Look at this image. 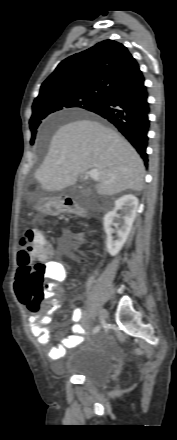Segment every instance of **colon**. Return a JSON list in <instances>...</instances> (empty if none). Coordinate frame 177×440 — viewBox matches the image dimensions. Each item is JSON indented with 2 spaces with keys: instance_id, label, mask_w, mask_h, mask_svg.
<instances>
[{
  "instance_id": "1",
  "label": "colon",
  "mask_w": 177,
  "mask_h": 440,
  "mask_svg": "<svg viewBox=\"0 0 177 440\" xmlns=\"http://www.w3.org/2000/svg\"><path fill=\"white\" fill-rule=\"evenodd\" d=\"M77 242H83L81 235L74 236ZM51 254V248L38 230L27 231L20 240L18 251L19 274L15 284L18 299L26 304L32 313H38L41 303L48 295L45 280L48 268L45 259Z\"/></svg>"
}]
</instances>
